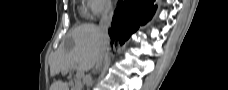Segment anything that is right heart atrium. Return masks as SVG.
I'll list each match as a JSON object with an SVG mask.
<instances>
[{"label":"right heart atrium","mask_w":228,"mask_h":90,"mask_svg":"<svg viewBox=\"0 0 228 90\" xmlns=\"http://www.w3.org/2000/svg\"><path fill=\"white\" fill-rule=\"evenodd\" d=\"M85 17L94 19L105 15L111 10V1L109 0H86Z\"/></svg>","instance_id":"1"}]
</instances>
